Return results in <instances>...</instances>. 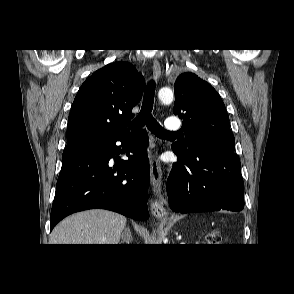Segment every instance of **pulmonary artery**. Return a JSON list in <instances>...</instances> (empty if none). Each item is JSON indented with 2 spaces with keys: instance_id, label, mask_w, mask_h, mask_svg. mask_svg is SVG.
Returning a JSON list of instances; mask_svg holds the SVG:
<instances>
[{
  "instance_id": "1",
  "label": "pulmonary artery",
  "mask_w": 294,
  "mask_h": 294,
  "mask_svg": "<svg viewBox=\"0 0 294 294\" xmlns=\"http://www.w3.org/2000/svg\"><path fill=\"white\" fill-rule=\"evenodd\" d=\"M166 126L169 130H178L181 128V122L177 117L170 116L167 119Z\"/></svg>"
}]
</instances>
